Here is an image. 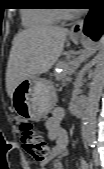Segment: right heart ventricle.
<instances>
[{
	"mask_svg": "<svg viewBox=\"0 0 104 169\" xmlns=\"http://www.w3.org/2000/svg\"><path fill=\"white\" fill-rule=\"evenodd\" d=\"M23 21L28 26L52 25L59 21L55 9H31L22 13Z\"/></svg>",
	"mask_w": 104,
	"mask_h": 169,
	"instance_id": "obj_1",
	"label": "right heart ventricle"
}]
</instances>
